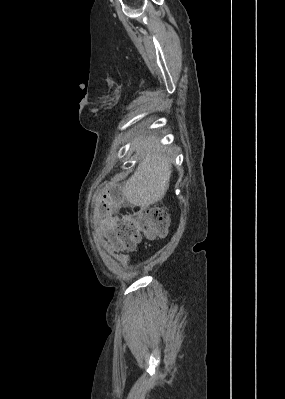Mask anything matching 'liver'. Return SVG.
Here are the masks:
<instances>
[{"label": "liver", "mask_w": 285, "mask_h": 399, "mask_svg": "<svg viewBox=\"0 0 285 399\" xmlns=\"http://www.w3.org/2000/svg\"><path fill=\"white\" fill-rule=\"evenodd\" d=\"M173 158L161 148L146 150L134 174L125 182L122 192L129 203L146 209L160 201L169 188Z\"/></svg>", "instance_id": "liver-1"}]
</instances>
